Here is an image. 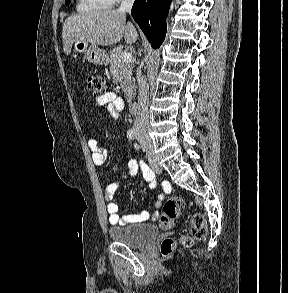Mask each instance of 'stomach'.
<instances>
[{
  "instance_id": "1",
  "label": "stomach",
  "mask_w": 288,
  "mask_h": 293,
  "mask_svg": "<svg viewBox=\"0 0 288 293\" xmlns=\"http://www.w3.org/2000/svg\"><path fill=\"white\" fill-rule=\"evenodd\" d=\"M73 49L77 54H85L86 59L92 64L107 65L109 62V56L104 50L86 41H75Z\"/></svg>"
}]
</instances>
